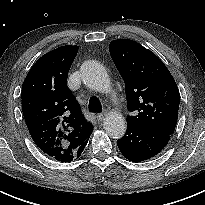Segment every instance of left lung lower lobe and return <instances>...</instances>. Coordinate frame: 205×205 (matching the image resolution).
<instances>
[{
  "instance_id": "0a47b994",
  "label": "left lung lower lobe",
  "mask_w": 205,
  "mask_h": 205,
  "mask_svg": "<svg viewBox=\"0 0 205 205\" xmlns=\"http://www.w3.org/2000/svg\"><path fill=\"white\" fill-rule=\"evenodd\" d=\"M170 137L171 135L127 124L125 135L117 143L125 158L132 162H141L161 152Z\"/></svg>"
}]
</instances>
